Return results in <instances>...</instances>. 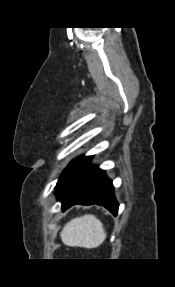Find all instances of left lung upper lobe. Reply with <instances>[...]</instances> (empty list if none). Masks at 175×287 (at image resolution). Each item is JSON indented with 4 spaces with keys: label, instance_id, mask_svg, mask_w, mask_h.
<instances>
[{
    "label": "left lung upper lobe",
    "instance_id": "obj_1",
    "mask_svg": "<svg viewBox=\"0 0 175 287\" xmlns=\"http://www.w3.org/2000/svg\"><path fill=\"white\" fill-rule=\"evenodd\" d=\"M93 156L78 157L71 161L67 168L63 171L58 179L56 195L59 198L63 193L69 189L91 166V159Z\"/></svg>",
    "mask_w": 175,
    "mask_h": 287
}]
</instances>
